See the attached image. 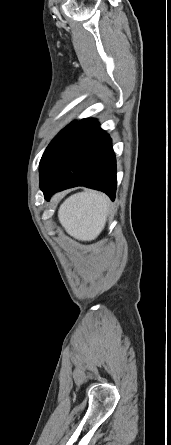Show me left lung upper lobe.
Instances as JSON below:
<instances>
[{
	"instance_id": "obj_1",
	"label": "left lung upper lobe",
	"mask_w": 171,
	"mask_h": 445,
	"mask_svg": "<svg viewBox=\"0 0 171 445\" xmlns=\"http://www.w3.org/2000/svg\"><path fill=\"white\" fill-rule=\"evenodd\" d=\"M77 121L72 122L69 126H67L66 128H64L52 141L51 143L48 145V147L46 148L41 161H40V167L43 164V162L46 160V158L48 157V155L51 153V151L53 150V148L56 146V144L59 142V140L62 138V136L76 123Z\"/></svg>"
}]
</instances>
